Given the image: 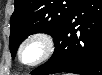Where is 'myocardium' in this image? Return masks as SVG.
I'll return each mask as SVG.
<instances>
[{"label": "myocardium", "instance_id": "1", "mask_svg": "<svg viewBox=\"0 0 102 75\" xmlns=\"http://www.w3.org/2000/svg\"><path fill=\"white\" fill-rule=\"evenodd\" d=\"M32 42L40 43L42 46V51L38 56V58L31 62V61L25 60L24 55H25V50L27 46ZM55 46H56V43L52 35L43 31L35 32L27 36L22 41L19 47L18 56L23 64L35 65V64L44 62L45 60L50 58V56L53 54L55 50Z\"/></svg>", "mask_w": 102, "mask_h": 75}]
</instances>
